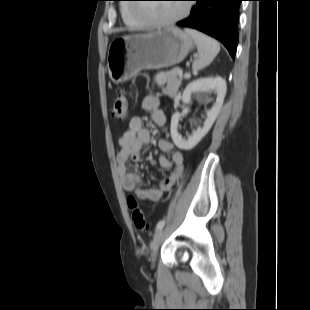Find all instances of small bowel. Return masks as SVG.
Wrapping results in <instances>:
<instances>
[{
  "label": "small bowel",
  "instance_id": "small-bowel-1",
  "mask_svg": "<svg viewBox=\"0 0 310 310\" xmlns=\"http://www.w3.org/2000/svg\"><path fill=\"white\" fill-rule=\"evenodd\" d=\"M142 108L148 112L152 121L159 127H165L167 115L160 108V100L155 96H146L142 101ZM151 132L144 126L140 116L130 119L128 128L119 138V148L116 152V166L120 183L124 190L133 192L141 200L158 201L163 194L169 191L182 177L184 171V157L180 151L174 149L171 142L162 139L158 147L162 153H170L167 157L162 154L159 157L160 166L169 171L167 178L163 179L158 187H146L142 177L128 170V161L141 160L143 148L150 142Z\"/></svg>",
  "mask_w": 310,
  "mask_h": 310
}]
</instances>
